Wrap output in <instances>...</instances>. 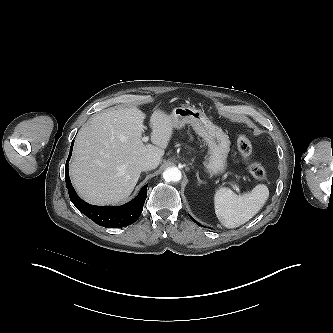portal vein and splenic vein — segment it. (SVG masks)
Listing matches in <instances>:
<instances>
[{"instance_id":"portal-vein-and-splenic-vein-1","label":"portal vein and splenic vein","mask_w":333,"mask_h":333,"mask_svg":"<svg viewBox=\"0 0 333 333\" xmlns=\"http://www.w3.org/2000/svg\"><path fill=\"white\" fill-rule=\"evenodd\" d=\"M142 141L147 142L148 141V137H142ZM234 188L237 192H239V187L237 185H234Z\"/></svg>"}]
</instances>
